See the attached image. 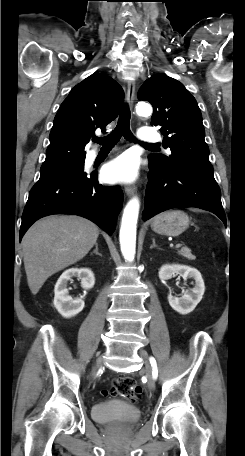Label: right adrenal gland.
<instances>
[{
	"label": "right adrenal gland",
	"instance_id": "obj_1",
	"mask_svg": "<svg viewBox=\"0 0 245 456\" xmlns=\"http://www.w3.org/2000/svg\"><path fill=\"white\" fill-rule=\"evenodd\" d=\"M93 253H95L96 255L102 256V255L98 252V243H95V249H94V251H93L91 254H93Z\"/></svg>",
	"mask_w": 245,
	"mask_h": 456
}]
</instances>
